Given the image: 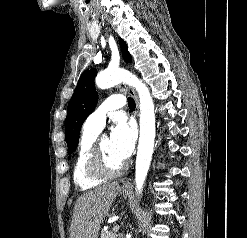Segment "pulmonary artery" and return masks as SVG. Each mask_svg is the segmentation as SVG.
Listing matches in <instances>:
<instances>
[{
	"instance_id": "1",
	"label": "pulmonary artery",
	"mask_w": 247,
	"mask_h": 238,
	"mask_svg": "<svg viewBox=\"0 0 247 238\" xmlns=\"http://www.w3.org/2000/svg\"><path fill=\"white\" fill-rule=\"evenodd\" d=\"M125 103V98L120 94L108 97L94 112H92L86 118L84 127L100 132L105 125V120L108 113L123 107Z\"/></svg>"
}]
</instances>
